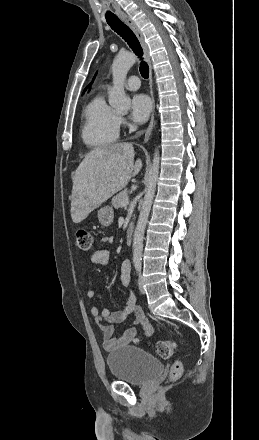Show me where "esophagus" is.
Returning a JSON list of instances; mask_svg holds the SVG:
<instances>
[{"instance_id": "obj_1", "label": "esophagus", "mask_w": 259, "mask_h": 440, "mask_svg": "<svg viewBox=\"0 0 259 440\" xmlns=\"http://www.w3.org/2000/svg\"><path fill=\"white\" fill-rule=\"evenodd\" d=\"M120 18L131 28V30L134 32V34L136 35V37L138 38L143 51H144V55L146 58V61L148 63V67H149V89H150V95L152 98V103H153V108H152V114H151V119L148 125V128L145 132V137H144V143H148L152 129H153V125H154V112H155V99H154V92H153V79H152V62H151V58H150V54H149V49L148 46L144 40V37L140 31V29L138 28V26L136 25V23L126 14H121Z\"/></svg>"}]
</instances>
